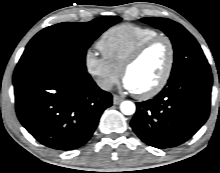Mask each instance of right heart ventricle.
I'll list each match as a JSON object with an SVG mask.
<instances>
[{"mask_svg":"<svg viewBox=\"0 0 220 173\" xmlns=\"http://www.w3.org/2000/svg\"><path fill=\"white\" fill-rule=\"evenodd\" d=\"M157 35L159 32L153 28L125 23L107 30L99 39L97 47L103 57L122 70L132 52L140 44Z\"/></svg>","mask_w":220,"mask_h":173,"instance_id":"1","label":"right heart ventricle"}]
</instances>
